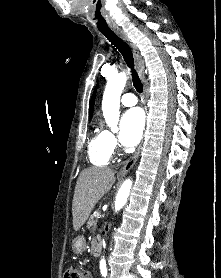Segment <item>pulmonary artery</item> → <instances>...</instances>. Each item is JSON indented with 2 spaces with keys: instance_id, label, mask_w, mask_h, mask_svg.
<instances>
[{
  "instance_id": "pulmonary-artery-1",
  "label": "pulmonary artery",
  "mask_w": 221,
  "mask_h": 278,
  "mask_svg": "<svg viewBox=\"0 0 221 278\" xmlns=\"http://www.w3.org/2000/svg\"><path fill=\"white\" fill-rule=\"evenodd\" d=\"M137 102H138V100H137L136 96L131 93L124 94L121 97V103L126 107L134 106L137 104Z\"/></svg>"
}]
</instances>
